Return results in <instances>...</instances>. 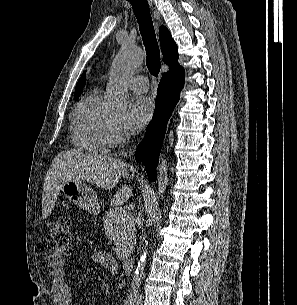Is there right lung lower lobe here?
Here are the masks:
<instances>
[{
  "label": "right lung lower lobe",
  "instance_id": "obj_1",
  "mask_svg": "<svg viewBox=\"0 0 297 305\" xmlns=\"http://www.w3.org/2000/svg\"><path fill=\"white\" fill-rule=\"evenodd\" d=\"M184 69L164 73L156 97V109L149 123L144 139L137 148L136 159L146 166L148 178L156 181L155 168L158 163L161 145L165 136L167 122L179 100L184 85Z\"/></svg>",
  "mask_w": 297,
  "mask_h": 305
}]
</instances>
